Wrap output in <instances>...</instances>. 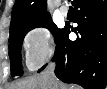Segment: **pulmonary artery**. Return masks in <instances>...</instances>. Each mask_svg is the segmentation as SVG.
<instances>
[{"instance_id":"pulmonary-artery-1","label":"pulmonary artery","mask_w":107,"mask_h":89,"mask_svg":"<svg viewBox=\"0 0 107 89\" xmlns=\"http://www.w3.org/2000/svg\"><path fill=\"white\" fill-rule=\"evenodd\" d=\"M60 13L63 15V16H67L68 14V8L66 6H62L60 8Z\"/></svg>"}]
</instances>
